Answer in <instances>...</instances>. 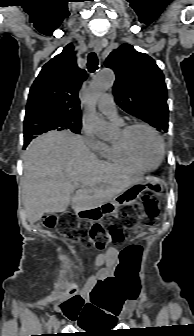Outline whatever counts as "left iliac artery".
I'll list each match as a JSON object with an SVG mask.
<instances>
[{
  "label": "left iliac artery",
  "mask_w": 194,
  "mask_h": 336,
  "mask_svg": "<svg viewBox=\"0 0 194 336\" xmlns=\"http://www.w3.org/2000/svg\"><path fill=\"white\" fill-rule=\"evenodd\" d=\"M143 320H144V324H145L147 327H150L151 322H150L149 317H148L146 314L143 315Z\"/></svg>",
  "instance_id": "44dca946"
}]
</instances>
